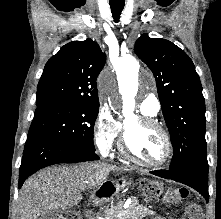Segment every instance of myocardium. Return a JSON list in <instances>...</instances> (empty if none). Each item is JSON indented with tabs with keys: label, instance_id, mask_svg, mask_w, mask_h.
Masks as SVG:
<instances>
[{
	"label": "myocardium",
	"instance_id": "myocardium-1",
	"mask_svg": "<svg viewBox=\"0 0 221 219\" xmlns=\"http://www.w3.org/2000/svg\"><path fill=\"white\" fill-rule=\"evenodd\" d=\"M137 120L141 125L154 128L162 134L164 138V142H165L164 155L161 160H159L158 162H152V163L143 161L139 159L138 157H136L128 146L126 129L124 127L123 135H122L121 142H120V152L122 156H124L126 159L144 168L159 169V168L164 167L165 165L169 163L173 155V143H172L169 132L166 130V128L162 124H160L158 121L152 118L138 117Z\"/></svg>",
	"mask_w": 221,
	"mask_h": 219
}]
</instances>
